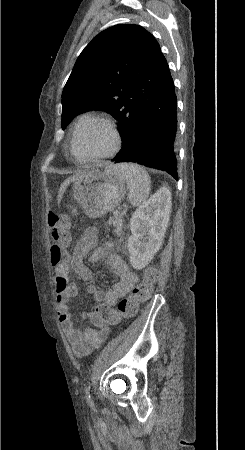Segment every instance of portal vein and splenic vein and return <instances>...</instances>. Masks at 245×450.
<instances>
[{
    "label": "portal vein and splenic vein",
    "instance_id": "18ae733b",
    "mask_svg": "<svg viewBox=\"0 0 245 450\" xmlns=\"http://www.w3.org/2000/svg\"><path fill=\"white\" fill-rule=\"evenodd\" d=\"M115 214L118 215V212L116 211Z\"/></svg>",
    "mask_w": 245,
    "mask_h": 450
}]
</instances>
